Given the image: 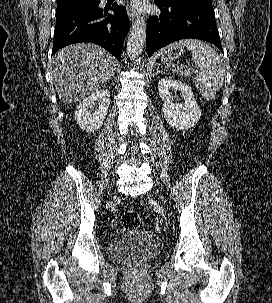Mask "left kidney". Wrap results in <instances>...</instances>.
<instances>
[{
  "mask_svg": "<svg viewBox=\"0 0 272 303\" xmlns=\"http://www.w3.org/2000/svg\"><path fill=\"white\" fill-rule=\"evenodd\" d=\"M170 89L181 91L184 103H173ZM158 91L160 98L163 100L162 113L172 128L184 131L193 127L199 121L201 111L189 85L165 77L159 80Z\"/></svg>",
  "mask_w": 272,
  "mask_h": 303,
  "instance_id": "obj_1",
  "label": "left kidney"
}]
</instances>
